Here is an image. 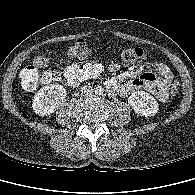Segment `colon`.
Segmentation results:
<instances>
[{
    "label": "colon",
    "mask_w": 195,
    "mask_h": 195,
    "mask_svg": "<svg viewBox=\"0 0 195 195\" xmlns=\"http://www.w3.org/2000/svg\"><path fill=\"white\" fill-rule=\"evenodd\" d=\"M111 43H115L111 39ZM52 48H49L45 53H42L34 58L33 63L24 67L20 72L22 87L26 90H34L42 84H47L51 81H58L61 78L59 72H40L39 69L49 65V54ZM69 55L74 58L85 59L91 55L92 49L85 40H78L69 48ZM147 52L141 48H126L120 52V57L125 62H136L143 59ZM180 92V84L174 81L171 85L170 93L173 97Z\"/></svg>",
    "instance_id": "1"
}]
</instances>
